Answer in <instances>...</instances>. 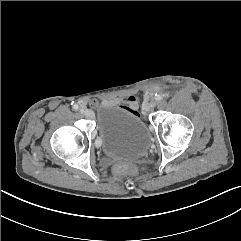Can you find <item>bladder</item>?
Wrapping results in <instances>:
<instances>
[{
	"label": "bladder",
	"mask_w": 241,
	"mask_h": 241,
	"mask_svg": "<svg viewBox=\"0 0 241 241\" xmlns=\"http://www.w3.org/2000/svg\"><path fill=\"white\" fill-rule=\"evenodd\" d=\"M96 131L101 149L113 159H137L150 146L149 132L140 116L114 102L100 107Z\"/></svg>",
	"instance_id": "obj_1"
}]
</instances>
